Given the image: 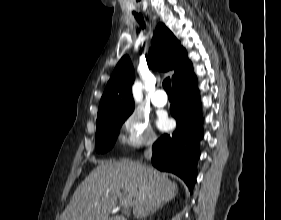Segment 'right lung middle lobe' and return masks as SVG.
<instances>
[{
  "label": "right lung middle lobe",
  "instance_id": "obj_1",
  "mask_svg": "<svg viewBox=\"0 0 281 220\" xmlns=\"http://www.w3.org/2000/svg\"><path fill=\"white\" fill-rule=\"evenodd\" d=\"M130 114L113 116L97 122L95 148L98 153H104L113 147L121 125Z\"/></svg>",
  "mask_w": 281,
  "mask_h": 220
}]
</instances>
